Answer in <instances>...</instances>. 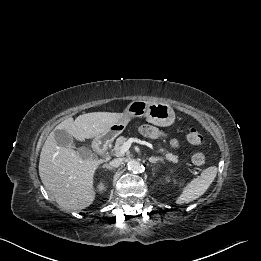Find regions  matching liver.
I'll return each mask as SVG.
<instances>
[{
    "mask_svg": "<svg viewBox=\"0 0 261 261\" xmlns=\"http://www.w3.org/2000/svg\"><path fill=\"white\" fill-rule=\"evenodd\" d=\"M124 116L123 113L111 112L86 113L75 120L72 117L65 119L55 130H66L78 141L100 139ZM54 131L49 134L41 150V181L61 207L71 210L84 209L95 199L94 174L102 161L83 159L74 148L59 146Z\"/></svg>",
    "mask_w": 261,
    "mask_h": 261,
    "instance_id": "liver-1",
    "label": "liver"
}]
</instances>
